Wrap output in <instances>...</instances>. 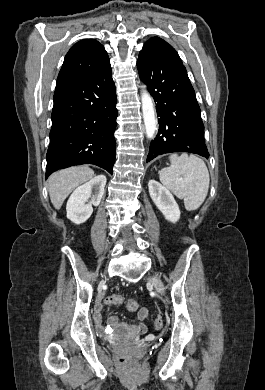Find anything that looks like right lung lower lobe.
<instances>
[{
    "instance_id": "obj_1",
    "label": "right lung lower lobe",
    "mask_w": 265,
    "mask_h": 390,
    "mask_svg": "<svg viewBox=\"0 0 265 390\" xmlns=\"http://www.w3.org/2000/svg\"><path fill=\"white\" fill-rule=\"evenodd\" d=\"M110 62L76 81L56 86L46 178L73 165L94 164L113 173L116 91Z\"/></svg>"
}]
</instances>
